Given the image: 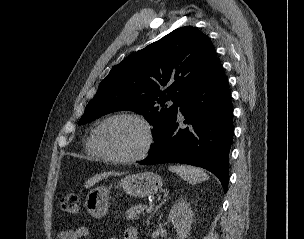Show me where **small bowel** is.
I'll return each mask as SVG.
<instances>
[{
  "instance_id": "1",
  "label": "small bowel",
  "mask_w": 304,
  "mask_h": 239,
  "mask_svg": "<svg viewBox=\"0 0 304 239\" xmlns=\"http://www.w3.org/2000/svg\"><path fill=\"white\" fill-rule=\"evenodd\" d=\"M90 234L87 228L79 227L76 229H64L58 233V239H81V238H89ZM109 239H118L116 237H111ZM122 239H137V230L133 227L127 228L124 233Z\"/></svg>"
}]
</instances>
